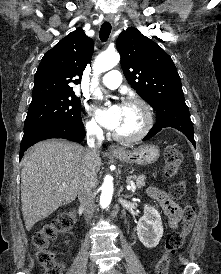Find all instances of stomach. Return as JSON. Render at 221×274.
<instances>
[{"label": "stomach", "instance_id": "1", "mask_svg": "<svg viewBox=\"0 0 221 274\" xmlns=\"http://www.w3.org/2000/svg\"><path fill=\"white\" fill-rule=\"evenodd\" d=\"M159 156V147L153 144H145L132 151H123L114 155L121 162L137 165L152 164L158 160Z\"/></svg>", "mask_w": 221, "mask_h": 274}]
</instances>
